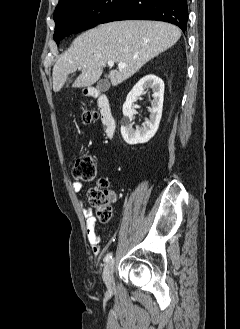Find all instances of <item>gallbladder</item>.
Wrapping results in <instances>:
<instances>
[{
    "label": "gallbladder",
    "mask_w": 240,
    "mask_h": 329,
    "mask_svg": "<svg viewBox=\"0 0 240 329\" xmlns=\"http://www.w3.org/2000/svg\"><path fill=\"white\" fill-rule=\"evenodd\" d=\"M97 89L101 92H105L109 89L110 84L108 82L107 79H101L98 83H97Z\"/></svg>",
    "instance_id": "bac80fb5"
}]
</instances>
